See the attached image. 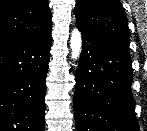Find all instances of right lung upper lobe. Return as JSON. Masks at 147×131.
<instances>
[{"mask_svg":"<svg viewBox=\"0 0 147 131\" xmlns=\"http://www.w3.org/2000/svg\"><path fill=\"white\" fill-rule=\"evenodd\" d=\"M51 27L48 0L0 1V48L41 36Z\"/></svg>","mask_w":147,"mask_h":131,"instance_id":"1","label":"right lung upper lobe"}]
</instances>
